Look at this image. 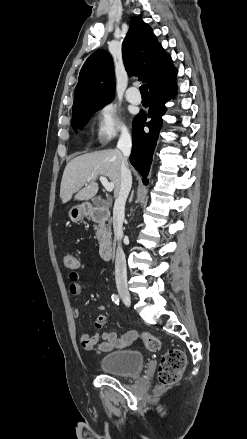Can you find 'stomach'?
Returning <instances> with one entry per match:
<instances>
[{"label": "stomach", "mask_w": 247, "mask_h": 439, "mask_svg": "<svg viewBox=\"0 0 247 439\" xmlns=\"http://www.w3.org/2000/svg\"><path fill=\"white\" fill-rule=\"evenodd\" d=\"M87 214H88V212H87V208L85 205L75 206V207L71 208L69 211V217L74 222L80 221Z\"/></svg>", "instance_id": "0dacf381"}]
</instances>
